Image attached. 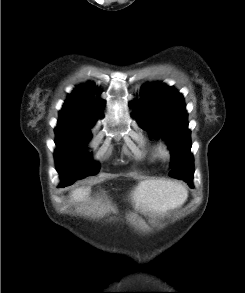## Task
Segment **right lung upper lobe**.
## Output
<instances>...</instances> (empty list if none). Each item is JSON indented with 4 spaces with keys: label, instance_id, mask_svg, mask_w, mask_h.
Listing matches in <instances>:
<instances>
[{
    "label": "right lung upper lobe",
    "instance_id": "obj_1",
    "mask_svg": "<svg viewBox=\"0 0 245 293\" xmlns=\"http://www.w3.org/2000/svg\"><path fill=\"white\" fill-rule=\"evenodd\" d=\"M94 88L95 85L92 83L88 86H79L69 95L60 111L58 125L86 128L94 125L104 105L100 99H94Z\"/></svg>",
    "mask_w": 245,
    "mask_h": 293
}]
</instances>
